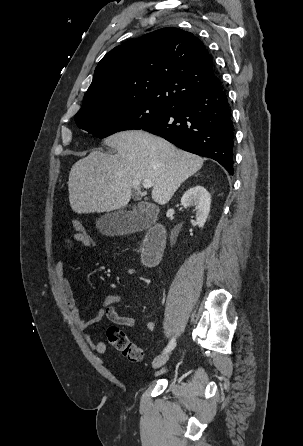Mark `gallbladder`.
Segmentation results:
<instances>
[{
  "instance_id": "bac80fb5",
  "label": "gallbladder",
  "mask_w": 303,
  "mask_h": 446,
  "mask_svg": "<svg viewBox=\"0 0 303 446\" xmlns=\"http://www.w3.org/2000/svg\"><path fill=\"white\" fill-rule=\"evenodd\" d=\"M150 222V217L141 210H120L101 217L97 221V227L103 234L114 235L143 228Z\"/></svg>"
}]
</instances>
